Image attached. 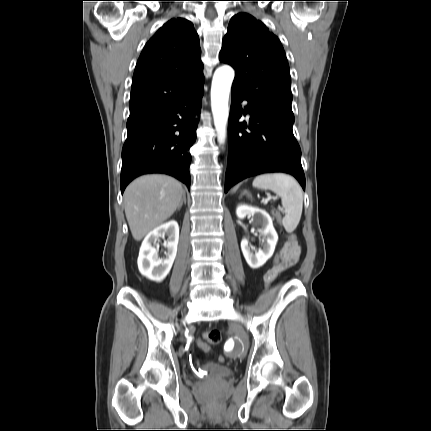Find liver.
Masks as SVG:
<instances>
[{
	"label": "liver",
	"mask_w": 431,
	"mask_h": 431,
	"mask_svg": "<svg viewBox=\"0 0 431 431\" xmlns=\"http://www.w3.org/2000/svg\"><path fill=\"white\" fill-rule=\"evenodd\" d=\"M183 193L181 183L167 175H144L130 183L124 192V207L133 238L142 240L170 218Z\"/></svg>",
	"instance_id": "1"
}]
</instances>
